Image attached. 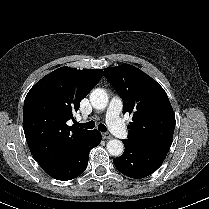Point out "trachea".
Instances as JSON below:
<instances>
[{
    "label": "trachea",
    "instance_id": "trachea-1",
    "mask_svg": "<svg viewBox=\"0 0 209 209\" xmlns=\"http://www.w3.org/2000/svg\"><path fill=\"white\" fill-rule=\"evenodd\" d=\"M76 126L81 127V128H86V129H93L95 127V122L90 121V122H87V123H76ZM98 129L101 132H106L107 131L106 126L104 124H101V123L98 125Z\"/></svg>",
    "mask_w": 209,
    "mask_h": 209
}]
</instances>
